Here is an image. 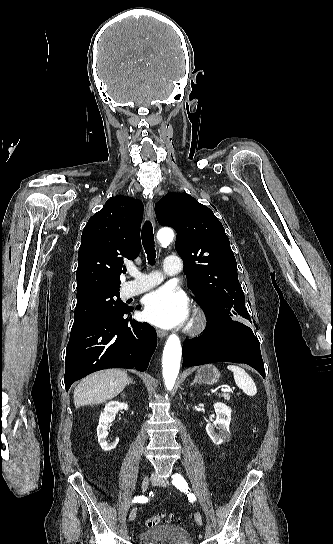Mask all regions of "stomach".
Returning a JSON list of instances; mask_svg holds the SVG:
<instances>
[{"label":"stomach","mask_w":333,"mask_h":544,"mask_svg":"<svg viewBox=\"0 0 333 544\" xmlns=\"http://www.w3.org/2000/svg\"><path fill=\"white\" fill-rule=\"evenodd\" d=\"M197 377L202 383L213 385L219 381L220 372L214 365L207 364L198 369Z\"/></svg>","instance_id":"0dacf381"}]
</instances>
